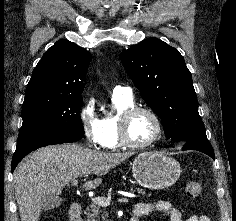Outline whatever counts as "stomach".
Returning <instances> with one entry per match:
<instances>
[{
    "label": "stomach",
    "instance_id": "0dacf381",
    "mask_svg": "<svg viewBox=\"0 0 236 221\" xmlns=\"http://www.w3.org/2000/svg\"><path fill=\"white\" fill-rule=\"evenodd\" d=\"M133 176L142 187L165 189L179 179L181 167L177 160L159 152H143L133 161Z\"/></svg>",
    "mask_w": 236,
    "mask_h": 221
}]
</instances>
